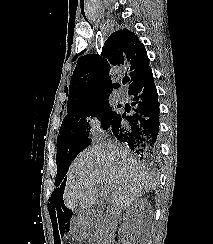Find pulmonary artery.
I'll return each instance as SVG.
<instances>
[{"instance_id": "obj_1", "label": "pulmonary artery", "mask_w": 213, "mask_h": 244, "mask_svg": "<svg viewBox=\"0 0 213 244\" xmlns=\"http://www.w3.org/2000/svg\"><path fill=\"white\" fill-rule=\"evenodd\" d=\"M114 94H115L116 100H118V101H123L124 100V93L122 91L116 90L114 92Z\"/></svg>"}]
</instances>
